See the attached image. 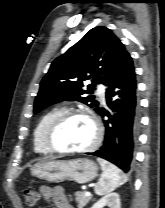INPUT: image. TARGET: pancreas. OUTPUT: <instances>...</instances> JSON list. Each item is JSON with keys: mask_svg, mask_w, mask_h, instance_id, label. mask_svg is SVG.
<instances>
[{"mask_svg": "<svg viewBox=\"0 0 165 208\" xmlns=\"http://www.w3.org/2000/svg\"><path fill=\"white\" fill-rule=\"evenodd\" d=\"M91 198L92 196H86L84 191L75 192V200L77 201L78 208H83Z\"/></svg>", "mask_w": 165, "mask_h": 208, "instance_id": "cf45deb5", "label": "pancreas"}]
</instances>
